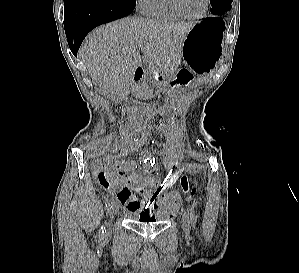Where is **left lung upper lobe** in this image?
Here are the masks:
<instances>
[{"label": "left lung upper lobe", "instance_id": "1", "mask_svg": "<svg viewBox=\"0 0 299 273\" xmlns=\"http://www.w3.org/2000/svg\"><path fill=\"white\" fill-rule=\"evenodd\" d=\"M233 0H210L214 15H222L231 11Z\"/></svg>", "mask_w": 299, "mask_h": 273}]
</instances>
